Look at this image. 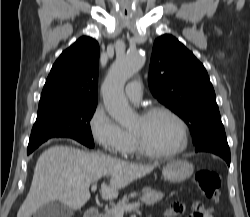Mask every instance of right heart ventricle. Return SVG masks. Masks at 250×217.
I'll return each mask as SVG.
<instances>
[{
    "label": "right heart ventricle",
    "mask_w": 250,
    "mask_h": 217,
    "mask_svg": "<svg viewBox=\"0 0 250 217\" xmlns=\"http://www.w3.org/2000/svg\"><path fill=\"white\" fill-rule=\"evenodd\" d=\"M125 132H126L127 137H128V147H127L125 154L137 153L138 151H137V148L135 146V143H134V140H133L131 133L127 132V131H125Z\"/></svg>",
    "instance_id": "e07e8e85"
}]
</instances>
